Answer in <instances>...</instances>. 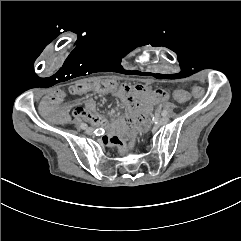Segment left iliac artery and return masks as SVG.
<instances>
[{"label": "left iliac artery", "instance_id": "1", "mask_svg": "<svg viewBox=\"0 0 241 241\" xmlns=\"http://www.w3.org/2000/svg\"><path fill=\"white\" fill-rule=\"evenodd\" d=\"M161 115H162V116H166V115H167V111H166V110H163V111L161 112Z\"/></svg>", "mask_w": 241, "mask_h": 241}]
</instances>
